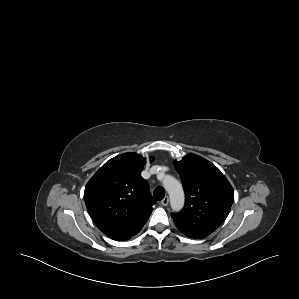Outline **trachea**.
I'll use <instances>...</instances> for the list:
<instances>
[{
  "instance_id": "1",
  "label": "trachea",
  "mask_w": 299,
  "mask_h": 299,
  "mask_svg": "<svg viewBox=\"0 0 299 299\" xmlns=\"http://www.w3.org/2000/svg\"><path fill=\"white\" fill-rule=\"evenodd\" d=\"M156 200H162L165 196V190L162 187H156L153 193Z\"/></svg>"
}]
</instances>
